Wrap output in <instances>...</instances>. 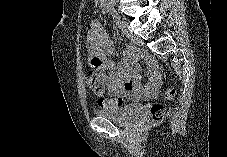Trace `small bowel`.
Returning a JSON list of instances; mask_svg holds the SVG:
<instances>
[{
    "mask_svg": "<svg viewBox=\"0 0 227 157\" xmlns=\"http://www.w3.org/2000/svg\"><path fill=\"white\" fill-rule=\"evenodd\" d=\"M86 44L92 67L100 73H108L103 78L104 87L106 86L109 96L139 100L151 98L157 94L160 78L156 66L153 63L149 64L147 72L148 82L143 85L139 76L136 49L133 46H129L119 62L111 60L110 57L114 53V45L98 21L91 23Z\"/></svg>",
    "mask_w": 227,
    "mask_h": 157,
    "instance_id": "1",
    "label": "small bowel"
}]
</instances>
